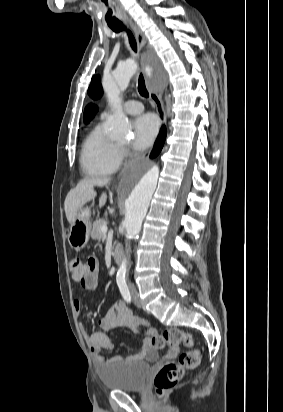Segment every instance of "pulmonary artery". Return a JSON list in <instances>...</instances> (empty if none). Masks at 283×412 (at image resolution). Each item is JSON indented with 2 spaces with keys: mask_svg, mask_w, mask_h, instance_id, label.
<instances>
[{
  "mask_svg": "<svg viewBox=\"0 0 283 412\" xmlns=\"http://www.w3.org/2000/svg\"><path fill=\"white\" fill-rule=\"evenodd\" d=\"M144 107L143 104L139 101L136 100H130L127 101L124 105H123V110L125 113L129 114V115H136L139 114L143 111ZM109 116V112L108 111H104L101 114V120H105L107 117Z\"/></svg>",
  "mask_w": 283,
  "mask_h": 412,
  "instance_id": "obj_1",
  "label": "pulmonary artery"
}]
</instances>
